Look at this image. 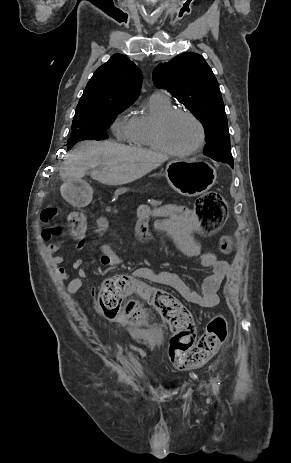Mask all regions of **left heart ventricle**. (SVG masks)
I'll return each mask as SVG.
<instances>
[{"label":"left heart ventricle","mask_w":291,"mask_h":463,"mask_svg":"<svg viewBox=\"0 0 291 463\" xmlns=\"http://www.w3.org/2000/svg\"><path fill=\"white\" fill-rule=\"evenodd\" d=\"M199 128L186 116L172 119L164 130L166 142L175 150L184 151L194 147L199 141Z\"/></svg>","instance_id":"obj_1"}]
</instances>
